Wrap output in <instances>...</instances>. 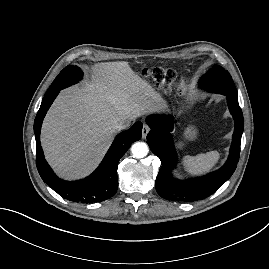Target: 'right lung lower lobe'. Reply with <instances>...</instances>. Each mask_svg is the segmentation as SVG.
I'll return each instance as SVG.
<instances>
[{
    "mask_svg": "<svg viewBox=\"0 0 269 269\" xmlns=\"http://www.w3.org/2000/svg\"><path fill=\"white\" fill-rule=\"evenodd\" d=\"M60 90L45 96L34 121L36 138V165L45 183L63 198L80 203L105 201L111 198L118 189L117 165L131 143L141 138L142 123L136 122L130 129L120 133L108 150L102 163L89 177L68 182L59 179L46 162L40 145V131L43 118Z\"/></svg>",
    "mask_w": 269,
    "mask_h": 269,
    "instance_id": "98d812e1",
    "label": "right lung lower lobe"
}]
</instances>
